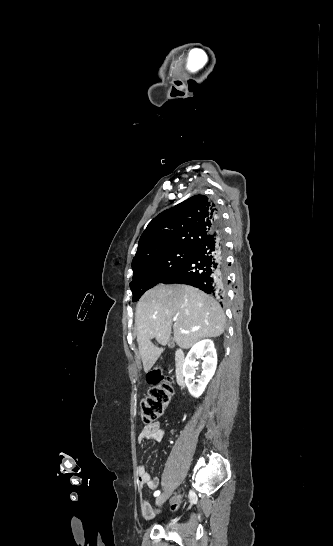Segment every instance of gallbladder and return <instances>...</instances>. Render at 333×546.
Listing matches in <instances>:
<instances>
[{"label": "gallbladder", "mask_w": 333, "mask_h": 546, "mask_svg": "<svg viewBox=\"0 0 333 546\" xmlns=\"http://www.w3.org/2000/svg\"><path fill=\"white\" fill-rule=\"evenodd\" d=\"M174 345H175L174 339H173V338H170V340L168 341V347H169V348H173Z\"/></svg>", "instance_id": "obj_1"}]
</instances>
